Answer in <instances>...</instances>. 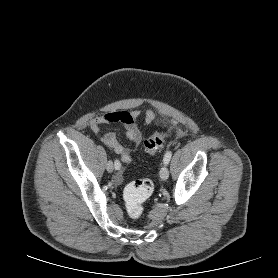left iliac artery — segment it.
Here are the masks:
<instances>
[{"label": "left iliac artery", "mask_w": 278, "mask_h": 278, "mask_svg": "<svg viewBox=\"0 0 278 278\" xmlns=\"http://www.w3.org/2000/svg\"><path fill=\"white\" fill-rule=\"evenodd\" d=\"M171 156H172V152L171 151H167L166 154L164 155V164H168L170 159H171Z\"/></svg>", "instance_id": "44dca946"}]
</instances>
